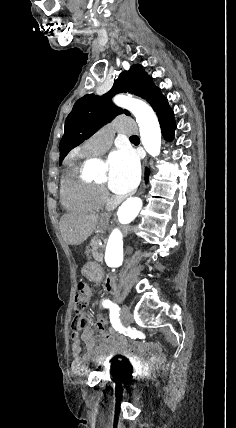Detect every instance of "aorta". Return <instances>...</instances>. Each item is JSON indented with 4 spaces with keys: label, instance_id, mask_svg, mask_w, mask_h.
Segmentation results:
<instances>
[{
    "label": "aorta",
    "instance_id": "aorta-1",
    "mask_svg": "<svg viewBox=\"0 0 236 428\" xmlns=\"http://www.w3.org/2000/svg\"><path fill=\"white\" fill-rule=\"evenodd\" d=\"M114 103L128 109L135 116L139 125L142 145L151 156H158L161 150V130L153 109L145 102L132 98L130 95H117ZM142 205L140 198H128L117 211L118 221L123 225L132 222L139 214ZM123 255V235L118 228H115L106 245L105 261L109 267L117 268L123 263Z\"/></svg>",
    "mask_w": 236,
    "mask_h": 428
}]
</instances>
